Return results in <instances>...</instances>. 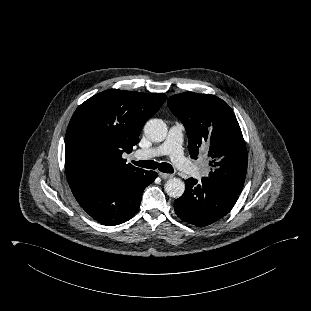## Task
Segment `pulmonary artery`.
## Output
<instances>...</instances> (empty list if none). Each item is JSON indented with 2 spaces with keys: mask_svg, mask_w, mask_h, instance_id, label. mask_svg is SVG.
Here are the masks:
<instances>
[{
  "mask_svg": "<svg viewBox=\"0 0 311 311\" xmlns=\"http://www.w3.org/2000/svg\"><path fill=\"white\" fill-rule=\"evenodd\" d=\"M184 127L181 123L172 125L169 129L166 140L159 146L136 152V157L148 159L161 155H169L176 167L182 172L197 176L201 173V168L188 160L183 153Z\"/></svg>",
  "mask_w": 311,
  "mask_h": 311,
  "instance_id": "1",
  "label": "pulmonary artery"
}]
</instances>
